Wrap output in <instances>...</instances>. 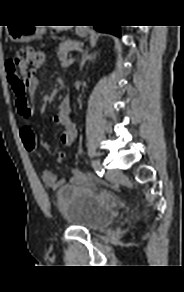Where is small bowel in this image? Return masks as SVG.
Listing matches in <instances>:
<instances>
[{"mask_svg": "<svg viewBox=\"0 0 184 292\" xmlns=\"http://www.w3.org/2000/svg\"><path fill=\"white\" fill-rule=\"evenodd\" d=\"M37 85H38L37 79L33 78L32 81L30 82V87L32 89H36ZM11 86H12L13 92L16 96L17 112H18V114L21 117L22 122H23L22 126L20 128V135H21L22 131L25 129L32 130L30 120H31L33 115H31L29 112H27V110L25 109V107L21 103V97H20L19 93L13 87V85H11ZM54 121L56 124L63 126V131H62V135H61L63 144L67 147H72L75 143V140H76L75 126L70 122V120L68 119V117L66 115L61 116L58 114L55 116ZM41 180L46 187L51 188V189H57L65 183V179L57 178V176L52 171H49V170H44L42 172ZM69 180L74 185H83L89 181L87 175L83 171L78 170V169H74L71 172Z\"/></svg>", "mask_w": 184, "mask_h": 292, "instance_id": "obj_1", "label": "small bowel"}]
</instances>
